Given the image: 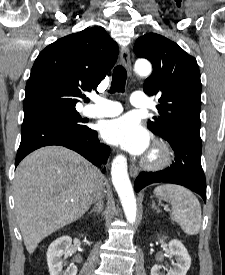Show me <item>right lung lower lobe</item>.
<instances>
[{
  "instance_id": "obj_1",
  "label": "right lung lower lobe",
  "mask_w": 225,
  "mask_h": 275,
  "mask_svg": "<svg viewBox=\"0 0 225 275\" xmlns=\"http://www.w3.org/2000/svg\"><path fill=\"white\" fill-rule=\"evenodd\" d=\"M21 134L15 166L32 151L49 145L72 149L97 166L106 163L110 153V148L100 143L97 132L90 128L79 131L54 121L31 120L23 122Z\"/></svg>"
}]
</instances>
